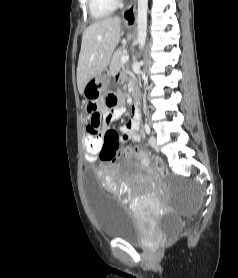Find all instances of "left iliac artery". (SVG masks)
<instances>
[{
	"instance_id": "left-iliac-artery-1",
	"label": "left iliac artery",
	"mask_w": 238,
	"mask_h": 278,
	"mask_svg": "<svg viewBox=\"0 0 238 278\" xmlns=\"http://www.w3.org/2000/svg\"><path fill=\"white\" fill-rule=\"evenodd\" d=\"M144 129H145L146 133L149 135L150 134V127L147 123H145Z\"/></svg>"
}]
</instances>
